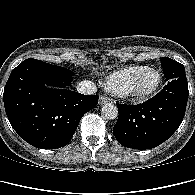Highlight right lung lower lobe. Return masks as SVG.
Listing matches in <instances>:
<instances>
[{"label":"right lung lower lobe","instance_id":"1","mask_svg":"<svg viewBox=\"0 0 195 195\" xmlns=\"http://www.w3.org/2000/svg\"><path fill=\"white\" fill-rule=\"evenodd\" d=\"M99 96L83 95L55 85V79L33 64L21 63L10 74L3 101L17 134L30 145L55 149L67 145L85 113Z\"/></svg>","mask_w":195,"mask_h":195}]
</instances>
